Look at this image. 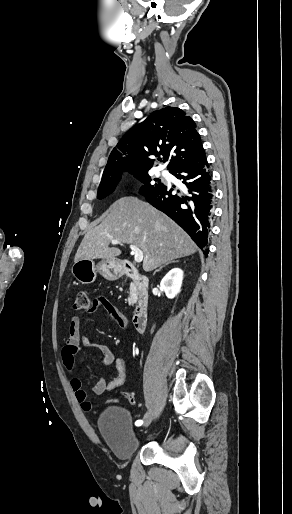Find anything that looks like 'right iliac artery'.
Masks as SVG:
<instances>
[{"instance_id": "1", "label": "right iliac artery", "mask_w": 292, "mask_h": 514, "mask_svg": "<svg viewBox=\"0 0 292 514\" xmlns=\"http://www.w3.org/2000/svg\"><path fill=\"white\" fill-rule=\"evenodd\" d=\"M142 424H143V420H137V421L135 422V425H136V426H141Z\"/></svg>"}]
</instances>
